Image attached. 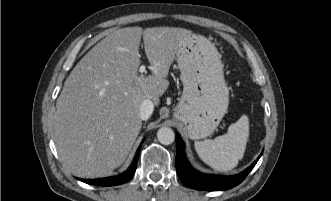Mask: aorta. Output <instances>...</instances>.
Segmentation results:
<instances>
[{
  "mask_svg": "<svg viewBox=\"0 0 331 201\" xmlns=\"http://www.w3.org/2000/svg\"><path fill=\"white\" fill-rule=\"evenodd\" d=\"M158 141L163 145L172 144L175 140V134L169 127H161L157 132Z\"/></svg>",
  "mask_w": 331,
  "mask_h": 201,
  "instance_id": "1",
  "label": "aorta"
}]
</instances>
